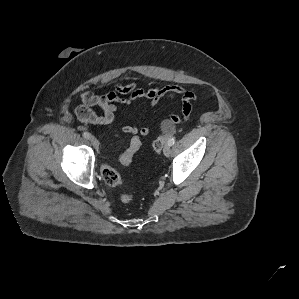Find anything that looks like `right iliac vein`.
<instances>
[{"label": "right iliac vein", "instance_id": "1", "mask_svg": "<svg viewBox=\"0 0 299 299\" xmlns=\"http://www.w3.org/2000/svg\"><path fill=\"white\" fill-rule=\"evenodd\" d=\"M90 141L96 149L99 147V141L94 136L90 137Z\"/></svg>", "mask_w": 299, "mask_h": 299}]
</instances>
